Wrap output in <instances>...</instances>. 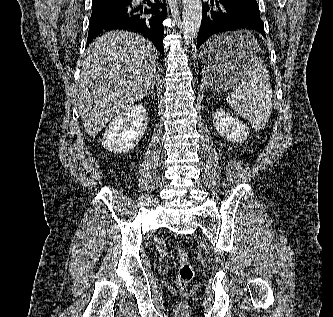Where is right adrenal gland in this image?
<instances>
[{
	"instance_id": "1",
	"label": "right adrenal gland",
	"mask_w": 333,
	"mask_h": 317,
	"mask_svg": "<svg viewBox=\"0 0 333 317\" xmlns=\"http://www.w3.org/2000/svg\"><path fill=\"white\" fill-rule=\"evenodd\" d=\"M151 94L152 96H155V93H154V90H153V87L151 88L150 92L148 93V95Z\"/></svg>"
}]
</instances>
